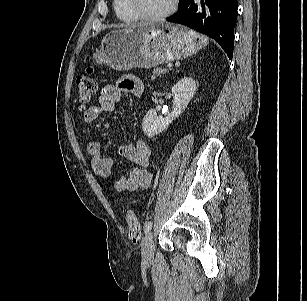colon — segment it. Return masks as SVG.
<instances>
[{"label": "colon", "instance_id": "obj_1", "mask_svg": "<svg viewBox=\"0 0 307 301\" xmlns=\"http://www.w3.org/2000/svg\"><path fill=\"white\" fill-rule=\"evenodd\" d=\"M93 68H88L87 73L80 75L76 81L77 99L82 107L87 106L95 97L97 92V81L92 77ZM126 218L130 236L137 237L140 227L135 213L128 209Z\"/></svg>", "mask_w": 307, "mask_h": 301}]
</instances>
